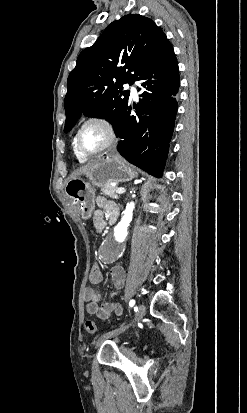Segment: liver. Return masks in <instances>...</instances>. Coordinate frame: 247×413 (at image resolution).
Here are the masks:
<instances>
[{
    "label": "liver",
    "instance_id": "6515ba94",
    "mask_svg": "<svg viewBox=\"0 0 247 413\" xmlns=\"http://www.w3.org/2000/svg\"><path fill=\"white\" fill-rule=\"evenodd\" d=\"M93 164L89 162V164H84V166H80V168H76L74 172H71L69 178H78L80 174H84V172H87V170H90L92 168Z\"/></svg>",
    "mask_w": 247,
    "mask_h": 413
}]
</instances>
